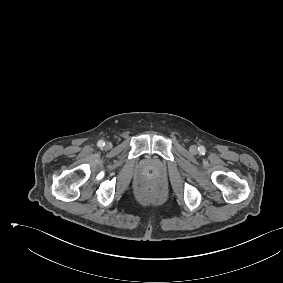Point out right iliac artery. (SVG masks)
<instances>
[{
	"label": "right iliac artery",
	"mask_w": 283,
	"mask_h": 283,
	"mask_svg": "<svg viewBox=\"0 0 283 283\" xmlns=\"http://www.w3.org/2000/svg\"><path fill=\"white\" fill-rule=\"evenodd\" d=\"M97 145L98 147H103L105 145V142L103 140H99Z\"/></svg>",
	"instance_id": "obj_1"
}]
</instances>
